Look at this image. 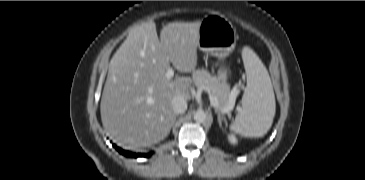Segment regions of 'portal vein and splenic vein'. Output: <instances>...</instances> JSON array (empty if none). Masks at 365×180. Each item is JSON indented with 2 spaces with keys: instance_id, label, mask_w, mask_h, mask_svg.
I'll return each mask as SVG.
<instances>
[{
  "instance_id": "18ae733b",
  "label": "portal vein and splenic vein",
  "mask_w": 365,
  "mask_h": 180,
  "mask_svg": "<svg viewBox=\"0 0 365 180\" xmlns=\"http://www.w3.org/2000/svg\"><path fill=\"white\" fill-rule=\"evenodd\" d=\"M166 78L167 79H172L173 76H174V70L172 68H169L167 71H166V74H165ZM209 99H210V103L213 107L219 109L222 113H229L230 110L233 109L234 105H231V106H228L226 108H220L219 107V103H218V100L215 96L213 95H209Z\"/></svg>"
}]
</instances>
